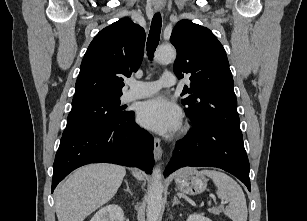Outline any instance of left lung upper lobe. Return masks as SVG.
Instances as JSON below:
<instances>
[{"instance_id":"obj_1","label":"left lung upper lobe","mask_w":307,"mask_h":221,"mask_svg":"<svg viewBox=\"0 0 307 221\" xmlns=\"http://www.w3.org/2000/svg\"><path fill=\"white\" fill-rule=\"evenodd\" d=\"M177 50L174 73L190 75L182 100L185 112L197 128L217 126L242 136L233 77L225 49L206 27L189 20L179 21L171 34Z\"/></svg>"}]
</instances>
